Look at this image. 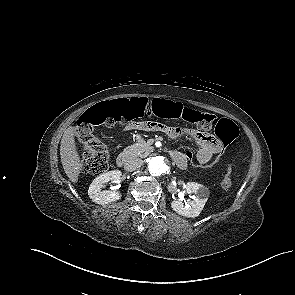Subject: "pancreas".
<instances>
[{
	"mask_svg": "<svg viewBox=\"0 0 295 295\" xmlns=\"http://www.w3.org/2000/svg\"><path fill=\"white\" fill-rule=\"evenodd\" d=\"M154 148L150 146L145 140L139 139L136 143L124 149V154L128 157H147Z\"/></svg>",
	"mask_w": 295,
	"mask_h": 295,
	"instance_id": "obj_1",
	"label": "pancreas"
}]
</instances>
